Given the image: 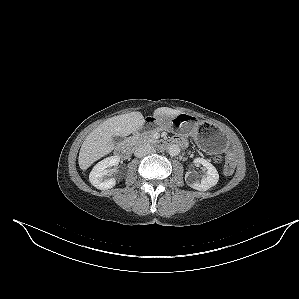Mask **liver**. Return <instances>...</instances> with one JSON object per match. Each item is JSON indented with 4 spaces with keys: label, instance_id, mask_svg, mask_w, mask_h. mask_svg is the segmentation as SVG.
I'll list each match as a JSON object with an SVG mask.
<instances>
[{
    "label": "liver",
    "instance_id": "obj_1",
    "mask_svg": "<svg viewBox=\"0 0 299 299\" xmlns=\"http://www.w3.org/2000/svg\"><path fill=\"white\" fill-rule=\"evenodd\" d=\"M180 111L161 107L154 111L155 117H172ZM145 120L141 112H131L114 116L101 123L89 133L79 152L78 163L82 170L88 169L95 161L114 149L113 136L126 137L140 130Z\"/></svg>",
    "mask_w": 299,
    "mask_h": 299
}]
</instances>
